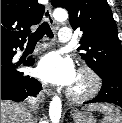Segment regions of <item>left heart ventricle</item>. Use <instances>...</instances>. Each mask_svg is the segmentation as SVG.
Segmentation results:
<instances>
[{
  "mask_svg": "<svg viewBox=\"0 0 122 123\" xmlns=\"http://www.w3.org/2000/svg\"><path fill=\"white\" fill-rule=\"evenodd\" d=\"M87 85V80L84 76H78L76 77V80L71 88H73L76 91L83 90Z\"/></svg>",
  "mask_w": 122,
  "mask_h": 123,
  "instance_id": "b2bd125f",
  "label": "left heart ventricle"
}]
</instances>
